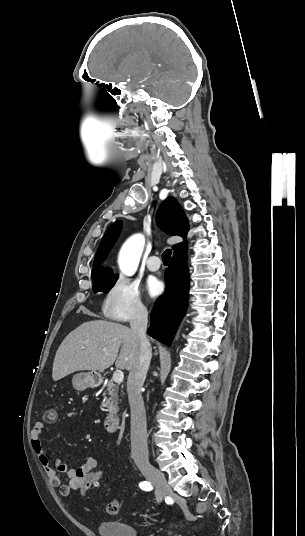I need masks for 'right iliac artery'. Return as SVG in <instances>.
<instances>
[{"instance_id": "1", "label": "right iliac artery", "mask_w": 305, "mask_h": 536, "mask_svg": "<svg viewBox=\"0 0 305 536\" xmlns=\"http://www.w3.org/2000/svg\"><path fill=\"white\" fill-rule=\"evenodd\" d=\"M139 487L144 491H151L153 489L150 482L143 481L139 484Z\"/></svg>"}]
</instances>
